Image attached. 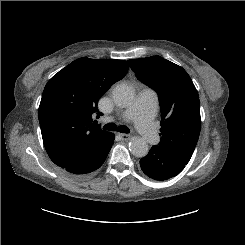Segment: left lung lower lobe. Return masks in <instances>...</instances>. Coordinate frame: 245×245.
I'll return each instance as SVG.
<instances>
[{
    "mask_svg": "<svg viewBox=\"0 0 245 245\" xmlns=\"http://www.w3.org/2000/svg\"><path fill=\"white\" fill-rule=\"evenodd\" d=\"M182 160L169 151L153 146L149 153L140 160L142 171L150 178L164 181L178 175L186 166Z\"/></svg>",
    "mask_w": 245,
    "mask_h": 245,
    "instance_id": "obj_1",
    "label": "left lung lower lobe"
}]
</instances>
